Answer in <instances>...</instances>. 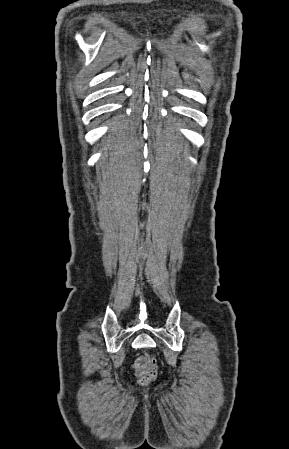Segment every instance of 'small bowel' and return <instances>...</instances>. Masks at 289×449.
Listing matches in <instances>:
<instances>
[{
    "label": "small bowel",
    "mask_w": 289,
    "mask_h": 449,
    "mask_svg": "<svg viewBox=\"0 0 289 449\" xmlns=\"http://www.w3.org/2000/svg\"><path fill=\"white\" fill-rule=\"evenodd\" d=\"M132 368L138 376H141L147 369V356H138L132 364Z\"/></svg>",
    "instance_id": "small-bowel-1"
}]
</instances>
